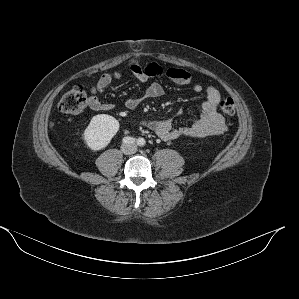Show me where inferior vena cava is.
Returning a JSON list of instances; mask_svg holds the SVG:
<instances>
[{
    "label": "inferior vena cava",
    "instance_id": "1",
    "mask_svg": "<svg viewBox=\"0 0 299 299\" xmlns=\"http://www.w3.org/2000/svg\"><path fill=\"white\" fill-rule=\"evenodd\" d=\"M137 150V147L135 145H123L122 146V152L126 155H130L135 153Z\"/></svg>",
    "mask_w": 299,
    "mask_h": 299
}]
</instances>
